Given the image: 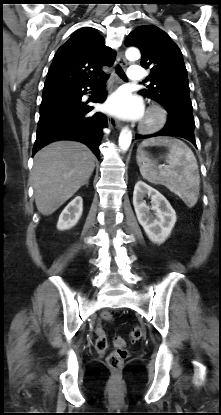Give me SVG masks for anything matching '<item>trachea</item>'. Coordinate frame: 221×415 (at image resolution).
<instances>
[{"label":"trachea","mask_w":221,"mask_h":415,"mask_svg":"<svg viewBox=\"0 0 221 415\" xmlns=\"http://www.w3.org/2000/svg\"><path fill=\"white\" fill-rule=\"evenodd\" d=\"M116 71H117L118 76L121 79H123V80L127 79L126 75H125V72L123 71V69L120 66H117ZM106 79H107V77L103 78L101 81L104 82V81H106Z\"/></svg>","instance_id":"trachea-1"}]
</instances>
